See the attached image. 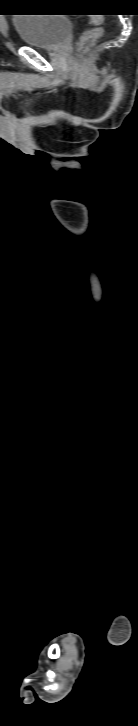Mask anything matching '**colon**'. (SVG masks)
Instances as JSON below:
<instances>
[{
    "label": "colon",
    "instance_id": "1",
    "mask_svg": "<svg viewBox=\"0 0 138 726\" xmlns=\"http://www.w3.org/2000/svg\"><path fill=\"white\" fill-rule=\"evenodd\" d=\"M103 19L101 17H94L89 27L84 31L78 41V51L84 52L97 38H99L104 31Z\"/></svg>",
    "mask_w": 138,
    "mask_h": 726
}]
</instances>
